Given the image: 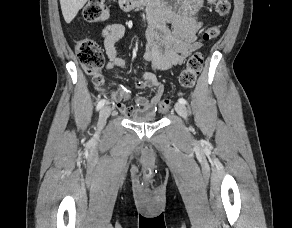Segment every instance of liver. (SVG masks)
I'll use <instances>...</instances> for the list:
<instances>
[{
  "instance_id": "6515ba94",
  "label": "liver",
  "mask_w": 292,
  "mask_h": 228,
  "mask_svg": "<svg viewBox=\"0 0 292 228\" xmlns=\"http://www.w3.org/2000/svg\"><path fill=\"white\" fill-rule=\"evenodd\" d=\"M88 0H60L61 10L66 23H70Z\"/></svg>"
}]
</instances>
